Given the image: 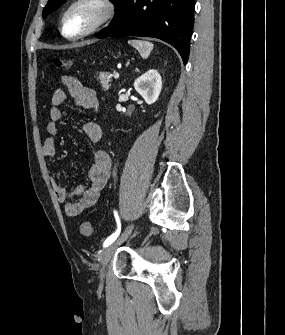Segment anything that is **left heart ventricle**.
<instances>
[{"mask_svg":"<svg viewBox=\"0 0 285 335\" xmlns=\"http://www.w3.org/2000/svg\"><path fill=\"white\" fill-rule=\"evenodd\" d=\"M101 14L102 12L99 8L90 5H83L74 11L73 18L78 25L84 28L93 24L101 16Z\"/></svg>","mask_w":285,"mask_h":335,"instance_id":"obj_1","label":"left heart ventricle"}]
</instances>
